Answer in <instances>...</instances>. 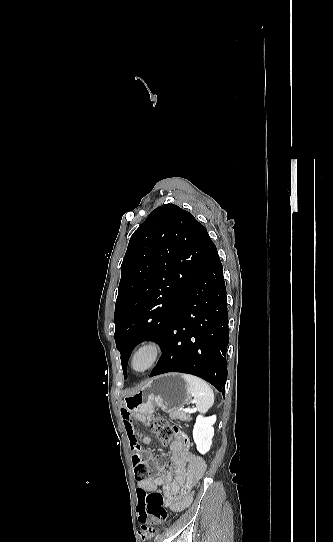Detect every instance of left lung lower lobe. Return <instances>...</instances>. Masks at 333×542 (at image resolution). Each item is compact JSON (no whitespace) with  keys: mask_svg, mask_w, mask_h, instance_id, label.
Segmentation results:
<instances>
[{"mask_svg":"<svg viewBox=\"0 0 333 542\" xmlns=\"http://www.w3.org/2000/svg\"><path fill=\"white\" fill-rule=\"evenodd\" d=\"M229 342L223 267L215 244L182 298L150 377L168 372L198 376L224 395Z\"/></svg>","mask_w":333,"mask_h":542,"instance_id":"left-lung-lower-lobe-1","label":"left lung lower lobe"}]
</instances>
